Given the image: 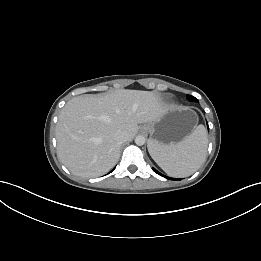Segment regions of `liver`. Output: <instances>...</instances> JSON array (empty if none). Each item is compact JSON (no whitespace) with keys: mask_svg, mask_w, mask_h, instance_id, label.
<instances>
[{"mask_svg":"<svg viewBox=\"0 0 261 261\" xmlns=\"http://www.w3.org/2000/svg\"><path fill=\"white\" fill-rule=\"evenodd\" d=\"M168 108L153 92L141 90L74 97L59 115L58 157L77 176L103 175L120 157L122 143L115 140V132L121 130L131 140L138 124L155 121Z\"/></svg>","mask_w":261,"mask_h":261,"instance_id":"6515ba94","label":"liver"}]
</instances>
